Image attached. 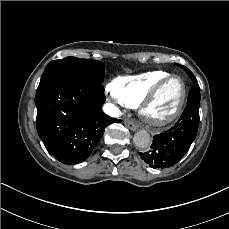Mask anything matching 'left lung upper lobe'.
<instances>
[{
    "mask_svg": "<svg viewBox=\"0 0 229 229\" xmlns=\"http://www.w3.org/2000/svg\"><path fill=\"white\" fill-rule=\"evenodd\" d=\"M179 67H181V68H183V69H185L186 67H184V66H182V65H179V64H177Z\"/></svg>",
    "mask_w": 229,
    "mask_h": 229,
    "instance_id": "1",
    "label": "left lung upper lobe"
}]
</instances>
